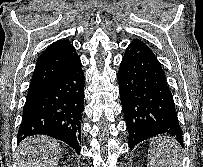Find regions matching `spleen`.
<instances>
[{
  "label": "spleen",
  "instance_id": "obj_1",
  "mask_svg": "<svg viewBox=\"0 0 203 167\" xmlns=\"http://www.w3.org/2000/svg\"><path fill=\"white\" fill-rule=\"evenodd\" d=\"M180 146L174 139L155 138L148 153V167H181Z\"/></svg>",
  "mask_w": 203,
  "mask_h": 167
}]
</instances>
